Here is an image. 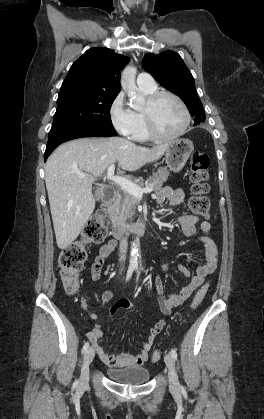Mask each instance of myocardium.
I'll return each mask as SVG.
<instances>
[{"instance_id":"1","label":"myocardium","mask_w":264,"mask_h":419,"mask_svg":"<svg viewBox=\"0 0 264 419\" xmlns=\"http://www.w3.org/2000/svg\"><path fill=\"white\" fill-rule=\"evenodd\" d=\"M164 96H169L173 98L179 104L184 114V123L182 128L176 134L170 136L164 135L159 131L154 113L156 104ZM143 112L146 120L148 133L152 139L157 141L171 142L177 140L186 133L191 122V115L185 102L182 100L180 96L168 90H157L150 94L147 98V102L143 109Z\"/></svg>"}]
</instances>
